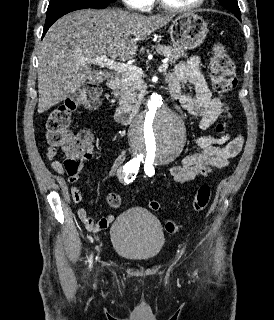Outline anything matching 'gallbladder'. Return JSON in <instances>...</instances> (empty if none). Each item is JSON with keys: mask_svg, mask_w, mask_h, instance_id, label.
Masks as SVG:
<instances>
[{"mask_svg": "<svg viewBox=\"0 0 274 320\" xmlns=\"http://www.w3.org/2000/svg\"><path fill=\"white\" fill-rule=\"evenodd\" d=\"M108 78L107 72H90L89 73V85H98L99 82H102L103 79Z\"/></svg>", "mask_w": 274, "mask_h": 320, "instance_id": "1", "label": "gallbladder"}]
</instances>
